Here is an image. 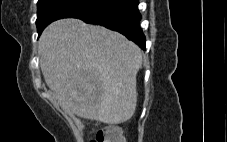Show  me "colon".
I'll return each instance as SVG.
<instances>
[{
	"label": "colon",
	"instance_id": "colon-1",
	"mask_svg": "<svg viewBox=\"0 0 227 142\" xmlns=\"http://www.w3.org/2000/svg\"><path fill=\"white\" fill-rule=\"evenodd\" d=\"M91 142H125V140L120 127L110 126L100 130Z\"/></svg>",
	"mask_w": 227,
	"mask_h": 142
}]
</instances>
